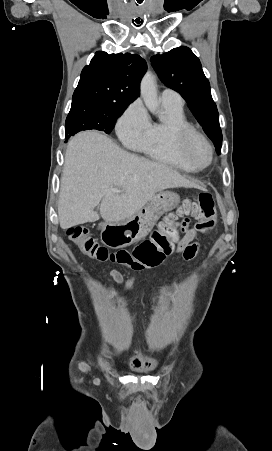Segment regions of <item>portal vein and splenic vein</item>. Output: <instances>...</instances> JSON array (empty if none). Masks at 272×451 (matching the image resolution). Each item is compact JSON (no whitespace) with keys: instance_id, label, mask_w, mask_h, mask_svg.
I'll return each instance as SVG.
<instances>
[{"instance_id":"18ae733b","label":"portal vein and splenic vein","mask_w":272,"mask_h":451,"mask_svg":"<svg viewBox=\"0 0 272 451\" xmlns=\"http://www.w3.org/2000/svg\"><path fill=\"white\" fill-rule=\"evenodd\" d=\"M111 192H116V194H121L122 190H118V188H110Z\"/></svg>"}]
</instances>
